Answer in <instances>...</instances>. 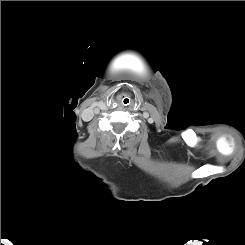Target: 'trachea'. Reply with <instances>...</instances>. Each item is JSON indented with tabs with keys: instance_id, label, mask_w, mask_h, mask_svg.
I'll list each match as a JSON object with an SVG mask.
<instances>
[{
	"instance_id": "3493384b",
	"label": "trachea",
	"mask_w": 245,
	"mask_h": 245,
	"mask_svg": "<svg viewBox=\"0 0 245 245\" xmlns=\"http://www.w3.org/2000/svg\"><path fill=\"white\" fill-rule=\"evenodd\" d=\"M121 103H122V105H124V106L130 105V104H131V99H130V97H124V98L122 99Z\"/></svg>"
}]
</instances>
